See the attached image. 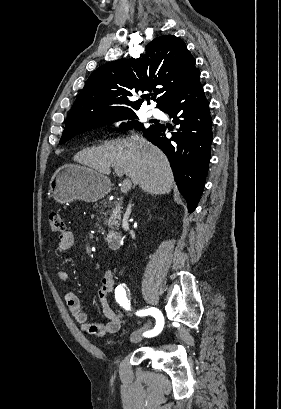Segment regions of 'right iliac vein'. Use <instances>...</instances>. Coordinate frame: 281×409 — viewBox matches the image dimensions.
<instances>
[{"label": "right iliac vein", "mask_w": 281, "mask_h": 409, "mask_svg": "<svg viewBox=\"0 0 281 409\" xmlns=\"http://www.w3.org/2000/svg\"><path fill=\"white\" fill-rule=\"evenodd\" d=\"M148 327V325L146 324L141 330H139V331H137V332H135V333H133L132 335H131V342H133V343H138V342H140L141 340H142V331H144L146 328Z\"/></svg>", "instance_id": "1"}]
</instances>
